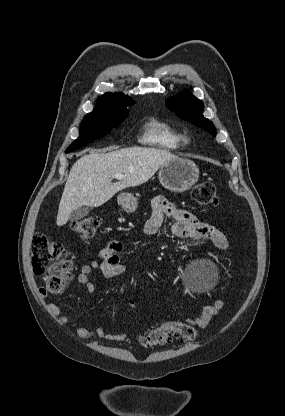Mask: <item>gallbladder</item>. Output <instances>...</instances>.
Masks as SVG:
<instances>
[{
	"label": "gallbladder",
	"mask_w": 285,
	"mask_h": 416,
	"mask_svg": "<svg viewBox=\"0 0 285 416\" xmlns=\"http://www.w3.org/2000/svg\"><path fill=\"white\" fill-rule=\"evenodd\" d=\"M89 212V208H78V210H75V212L70 214L69 220H71V222H78V220H81L84 216H88Z\"/></svg>",
	"instance_id": "bac80fb5"
}]
</instances>
